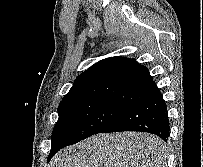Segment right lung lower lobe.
<instances>
[{
	"instance_id": "obj_1",
	"label": "right lung lower lobe",
	"mask_w": 203,
	"mask_h": 167,
	"mask_svg": "<svg viewBox=\"0 0 203 167\" xmlns=\"http://www.w3.org/2000/svg\"><path fill=\"white\" fill-rule=\"evenodd\" d=\"M140 131L157 135L167 142L170 136V122L166 103L160 91L138 99L101 133ZM64 144L52 142L49 160Z\"/></svg>"
}]
</instances>
